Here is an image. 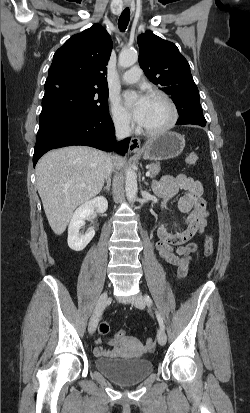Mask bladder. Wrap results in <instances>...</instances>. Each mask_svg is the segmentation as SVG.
Returning a JSON list of instances; mask_svg holds the SVG:
<instances>
[{"label": "bladder", "mask_w": 250, "mask_h": 413, "mask_svg": "<svg viewBox=\"0 0 250 413\" xmlns=\"http://www.w3.org/2000/svg\"><path fill=\"white\" fill-rule=\"evenodd\" d=\"M94 365L102 374L121 385L139 383L153 371V363L146 358L101 356L94 360Z\"/></svg>", "instance_id": "obj_1"}]
</instances>
